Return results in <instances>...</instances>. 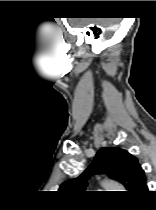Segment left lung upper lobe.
Masks as SVG:
<instances>
[{
  "instance_id": "5c2ea615",
  "label": "left lung upper lobe",
  "mask_w": 156,
  "mask_h": 210,
  "mask_svg": "<svg viewBox=\"0 0 156 210\" xmlns=\"http://www.w3.org/2000/svg\"><path fill=\"white\" fill-rule=\"evenodd\" d=\"M94 174H106L121 182L129 193H143L148 187L145 172L138 159L119 147L101 148L90 166L77 178L64 182L61 193L83 192L87 179Z\"/></svg>"
}]
</instances>
